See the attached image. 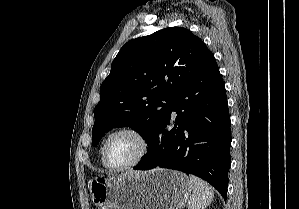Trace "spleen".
I'll use <instances>...</instances> for the list:
<instances>
[{
	"label": "spleen",
	"instance_id": "obj_1",
	"mask_svg": "<svg viewBox=\"0 0 299 209\" xmlns=\"http://www.w3.org/2000/svg\"><path fill=\"white\" fill-rule=\"evenodd\" d=\"M189 181L193 194L188 201V209H205L209 206L214 197L211 186L194 175L189 176Z\"/></svg>",
	"mask_w": 299,
	"mask_h": 209
}]
</instances>
